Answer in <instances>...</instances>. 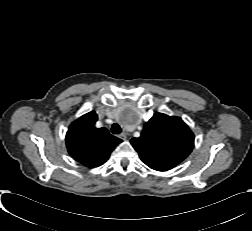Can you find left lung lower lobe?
Wrapping results in <instances>:
<instances>
[{"label": "left lung lower lobe", "mask_w": 252, "mask_h": 231, "mask_svg": "<svg viewBox=\"0 0 252 231\" xmlns=\"http://www.w3.org/2000/svg\"><path fill=\"white\" fill-rule=\"evenodd\" d=\"M153 169L157 170V171H167V170H169L171 168H169V167H157V168H153Z\"/></svg>", "instance_id": "0a47b994"}]
</instances>
